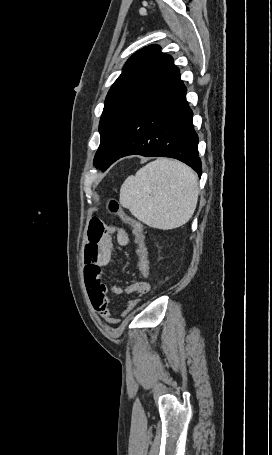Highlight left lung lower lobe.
Here are the masks:
<instances>
[{"instance_id":"0a47b994","label":"left lung lower lobe","mask_w":272,"mask_h":455,"mask_svg":"<svg viewBox=\"0 0 272 455\" xmlns=\"http://www.w3.org/2000/svg\"><path fill=\"white\" fill-rule=\"evenodd\" d=\"M186 92L179 74L131 119L99 168L105 171L119 158L139 154L178 159L201 177L198 136Z\"/></svg>"}]
</instances>
